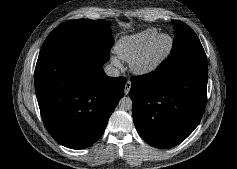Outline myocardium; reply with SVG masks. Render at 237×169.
I'll list each match as a JSON object with an SVG mask.
<instances>
[{
	"label": "myocardium",
	"mask_w": 237,
	"mask_h": 169,
	"mask_svg": "<svg viewBox=\"0 0 237 169\" xmlns=\"http://www.w3.org/2000/svg\"><path fill=\"white\" fill-rule=\"evenodd\" d=\"M161 37H166L169 41L168 47L163 54L154 60H147V54L154 43ZM173 49V38L168 33L156 35L130 62V68L135 74L145 75L157 69L170 55Z\"/></svg>",
	"instance_id": "myocardium-1"
}]
</instances>
